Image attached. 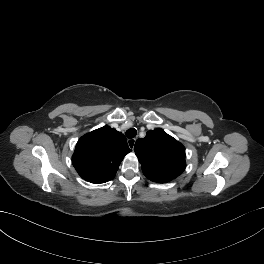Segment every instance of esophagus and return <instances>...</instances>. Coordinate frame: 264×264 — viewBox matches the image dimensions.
I'll use <instances>...</instances> for the list:
<instances>
[{"instance_id":"esophagus-1","label":"esophagus","mask_w":264,"mask_h":264,"mask_svg":"<svg viewBox=\"0 0 264 264\" xmlns=\"http://www.w3.org/2000/svg\"><path fill=\"white\" fill-rule=\"evenodd\" d=\"M127 142H128L129 148L134 149L136 139L135 138H131V139H128Z\"/></svg>"}]
</instances>
